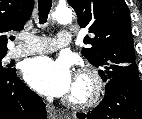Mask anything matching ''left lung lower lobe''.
<instances>
[{"label":"left lung lower lobe","instance_id":"obj_1","mask_svg":"<svg viewBox=\"0 0 142 119\" xmlns=\"http://www.w3.org/2000/svg\"><path fill=\"white\" fill-rule=\"evenodd\" d=\"M79 119H142V83L138 72H127L107 81L105 97L92 112Z\"/></svg>","mask_w":142,"mask_h":119}]
</instances>
